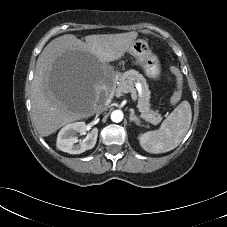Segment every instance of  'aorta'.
Segmentation results:
<instances>
[{
	"mask_svg": "<svg viewBox=\"0 0 227 227\" xmlns=\"http://www.w3.org/2000/svg\"><path fill=\"white\" fill-rule=\"evenodd\" d=\"M123 112L121 110H114L111 113V120L115 123H119L123 120Z\"/></svg>",
	"mask_w": 227,
	"mask_h": 227,
	"instance_id": "obj_1",
	"label": "aorta"
}]
</instances>
